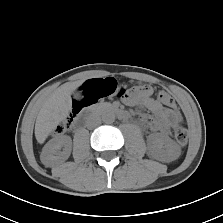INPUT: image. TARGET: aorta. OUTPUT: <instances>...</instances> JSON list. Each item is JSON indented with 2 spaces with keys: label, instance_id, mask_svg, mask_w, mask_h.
<instances>
[{
  "label": "aorta",
  "instance_id": "aorta-1",
  "mask_svg": "<svg viewBox=\"0 0 223 223\" xmlns=\"http://www.w3.org/2000/svg\"><path fill=\"white\" fill-rule=\"evenodd\" d=\"M102 121L107 124H111L115 121V114L111 111H105L102 113Z\"/></svg>",
  "mask_w": 223,
  "mask_h": 223
}]
</instances>
